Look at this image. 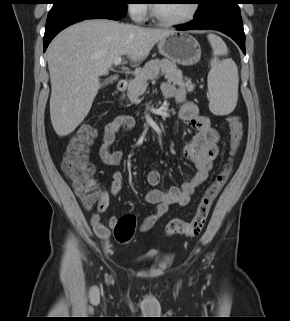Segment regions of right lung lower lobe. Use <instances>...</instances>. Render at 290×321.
<instances>
[{
	"label": "right lung lower lobe",
	"instance_id": "right-lung-lower-lobe-1",
	"mask_svg": "<svg viewBox=\"0 0 290 321\" xmlns=\"http://www.w3.org/2000/svg\"><path fill=\"white\" fill-rule=\"evenodd\" d=\"M127 9H112V10H82L74 8H60L50 10L47 22L45 35L43 38L44 51L51 40L64 28L83 21L85 19H112L119 20L125 16Z\"/></svg>",
	"mask_w": 290,
	"mask_h": 321
}]
</instances>
